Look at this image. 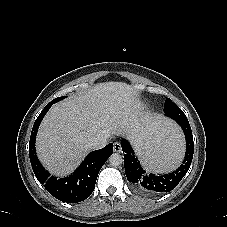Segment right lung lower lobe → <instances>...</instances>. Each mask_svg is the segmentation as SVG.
Masks as SVG:
<instances>
[{"label": "right lung lower lobe", "instance_id": "obj_1", "mask_svg": "<svg viewBox=\"0 0 227 227\" xmlns=\"http://www.w3.org/2000/svg\"><path fill=\"white\" fill-rule=\"evenodd\" d=\"M50 102L37 117L31 132L29 142V157L32 169L38 181L45 186L47 191L58 200L67 203H77L88 198L94 188L96 179L103 164L113 153V143L102 149L91 152L75 172L67 178L57 180L51 177L40 164L35 151V139L38 127L51 105Z\"/></svg>", "mask_w": 227, "mask_h": 227}]
</instances>
